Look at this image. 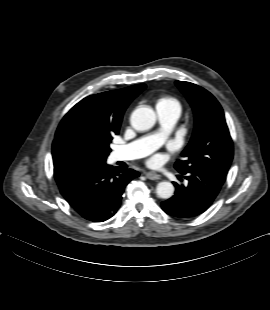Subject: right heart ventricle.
<instances>
[{
	"instance_id": "right-heart-ventricle-1",
	"label": "right heart ventricle",
	"mask_w": 270,
	"mask_h": 310,
	"mask_svg": "<svg viewBox=\"0 0 270 310\" xmlns=\"http://www.w3.org/2000/svg\"><path fill=\"white\" fill-rule=\"evenodd\" d=\"M156 108L157 110L176 113L180 115L182 106L180 101L171 95H161L156 99Z\"/></svg>"
}]
</instances>
